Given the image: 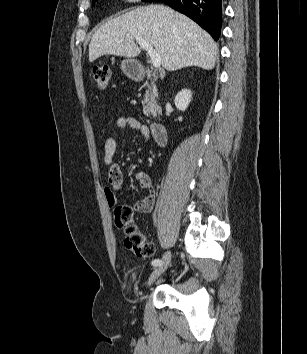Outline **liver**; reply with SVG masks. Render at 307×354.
Here are the masks:
<instances>
[{"mask_svg":"<svg viewBox=\"0 0 307 354\" xmlns=\"http://www.w3.org/2000/svg\"><path fill=\"white\" fill-rule=\"evenodd\" d=\"M136 38L144 39L161 56L168 71L215 66L218 48L212 37L185 15L163 5L137 7L108 20L94 33L89 61L103 55L134 58L141 52Z\"/></svg>","mask_w":307,"mask_h":354,"instance_id":"obj_1","label":"liver"}]
</instances>
